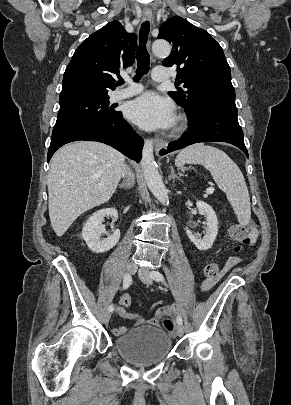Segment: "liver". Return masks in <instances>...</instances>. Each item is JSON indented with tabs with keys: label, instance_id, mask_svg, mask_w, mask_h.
Instances as JSON below:
<instances>
[{
	"label": "liver",
	"instance_id": "obj_1",
	"mask_svg": "<svg viewBox=\"0 0 291 405\" xmlns=\"http://www.w3.org/2000/svg\"><path fill=\"white\" fill-rule=\"evenodd\" d=\"M124 162L120 152L93 141L67 144L53 155L47 184L49 217L57 236L81 214L112 197Z\"/></svg>",
	"mask_w": 291,
	"mask_h": 405
}]
</instances>
